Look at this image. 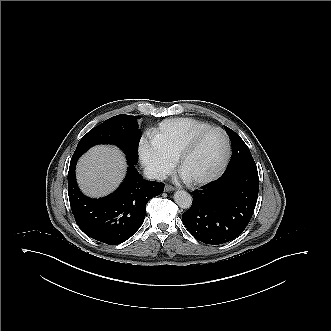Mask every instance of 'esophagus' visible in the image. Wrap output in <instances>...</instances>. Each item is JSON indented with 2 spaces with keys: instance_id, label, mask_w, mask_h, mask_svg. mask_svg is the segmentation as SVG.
<instances>
[{
  "instance_id": "esophagus-1",
  "label": "esophagus",
  "mask_w": 331,
  "mask_h": 331,
  "mask_svg": "<svg viewBox=\"0 0 331 331\" xmlns=\"http://www.w3.org/2000/svg\"><path fill=\"white\" fill-rule=\"evenodd\" d=\"M164 190H165L166 192H170V191H174V190H176V187H174V186H172V185H169V184H166Z\"/></svg>"
}]
</instances>
